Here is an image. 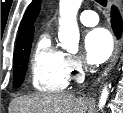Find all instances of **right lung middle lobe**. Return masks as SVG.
<instances>
[{
    "label": "right lung middle lobe",
    "instance_id": "right-lung-middle-lobe-1",
    "mask_svg": "<svg viewBox=\"0 0 123 113\" xmlns=\"http://www.w3.org/2000/svg\"><path fill=\"white\" fill-rule=\"evenodd\" d=\"M32 39L20 44L16 47L14 52V68H13V84L14 87H20L24 81L27 71L28 59L31 50Z\"/></svg>",
    "mask_w": 123,
    "mask_h": 113
}]
</instances>
